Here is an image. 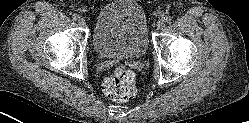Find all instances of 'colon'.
I'll list each match as a JSON object with an SVG mask.
<instances>
[{"instance_id": "1", "label": "colon", "mask_w": 249, "mask_h": 123, "mask_svg": "<svg viewBox=\"0 0 249 123\" xmlns=\"http://www.w3.org/2000/svg\"><path fill=\"white\" fill-rule=\"evenodd\" d=\"M135 74L122 66L115 69L114 73L106 77L102 83L105 96L117 102H125L136 95Z\"/></svg>"}]
</instances>
